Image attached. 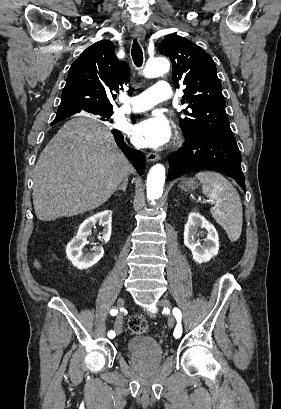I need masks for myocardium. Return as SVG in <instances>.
Segmentation results:
<instances>
[{"mask_svg": "<svg viewBox=\"0 0 281 409\" xmlns=\"http://www.w3.org/2000/svg\"><path fill=\"white\" fill-rule=\"evenodd\" d=\"M179 139H180V137H179V136H176L175 139H174V142L179 141Z\"/></svg>", "mask_w": 281, "mask_h": 409, "instance_id": "myocardium-1", "label": "myocardium"}]
</instances>
